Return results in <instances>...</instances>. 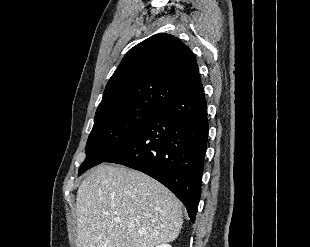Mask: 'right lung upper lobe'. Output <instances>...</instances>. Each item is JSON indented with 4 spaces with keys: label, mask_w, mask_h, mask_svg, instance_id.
Masks as SVG:
<instances>
[{
    "label": "right lung upper lobe",
    "mask_w": 310,
    "mask_h": 247,
    "mask_svg": "<svg viewBox=\"0 0 310 247\" xmlns=\"http://www.w3.org/2000/svg\"><path fill=\"white\" fill-rule=\"evenodd\" d=\"M202 88L193 52L169 34L130 49L104 90L95 117L136 106L162 109Z\"/></svg>",
    "instance_id": "cb5924a9"
}]
</instances>
